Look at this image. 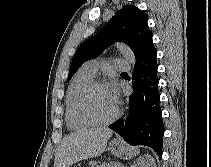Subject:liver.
<instances>
[{
	"label": "liver",
	"mask_w": 211,
	"mask_h": 167,
	"mask_svg": "<svg viewBox=\"0 0 211 167\" xmlns=\"http://www.w3.org/2000/svg\"><path fill=\"white\" fill-rule=\"evenodd\" d=\"M112 134L109 128L82 129L71 133L58 147L54 167H70L81 160L101 155Z\"/></svg>",
	"instance_id": "1"
}]
</instances>
